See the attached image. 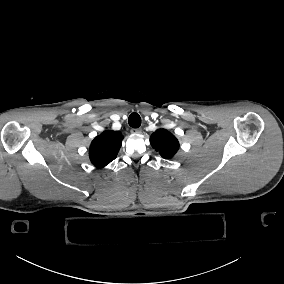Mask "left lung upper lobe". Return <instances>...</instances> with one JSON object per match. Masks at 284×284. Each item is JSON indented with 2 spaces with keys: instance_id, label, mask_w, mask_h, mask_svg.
Returning a JSON list of instances; mask_svg holds the SVG:
<instances>
[{
  "instance_id": "left-lung-upper-lobe-1",
  "label": "left lung upper lobe",
  "mask_w": 284,
  "mask_h": 284,
  "mask_svg": "<svg viewBox=\"0 0 284 284\" xmlns=\"http://www.w3.org/2000/svg\"><path fill=\"white\" fill-rule=\"evenodd\" d=\"M150 143L163 158H172L179 149V142L176 137L166 129L156 130L151 138Z\"/></svg>"
}]
</instances>
